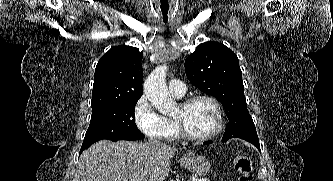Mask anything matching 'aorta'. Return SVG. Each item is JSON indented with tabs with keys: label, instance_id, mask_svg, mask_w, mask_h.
Wrapping results in <instances>:
<instances>
[{
	"label": "aorta",
	"instance_id": "762f6f07",
	"mask_svg": "<svg viewBox=\"0 0 333 181\" xmlns=\"http://www.w3.org/2000/svg\"><path fill=\"white\" fill-rule=\"evenodd\" d=\"M167 65L156 67L146 78L143 90L150 103L161 113H169L175 108L165 83Z\"/></svg>",
	"mask_w": 333,
	"mask_h": 181
}]
</instances>
